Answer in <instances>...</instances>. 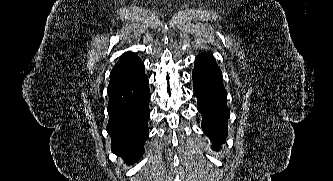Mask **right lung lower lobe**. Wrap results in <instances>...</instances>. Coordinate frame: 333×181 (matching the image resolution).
<instances>
[{
  "label": "right lung lower lobe",
  "instance_id": "98d812e1",
  "mask_svg": "<svg viewBox=\"0 0 333 181\" xmlns=\"http://www.w3.org/2000/svg\"><path fill=\"white\" fill-rule=\"evenodd\" d=\"M109 121L112 151L125 158L126 163L136 162L143 154L148 137L150 91L146 74L108 91Z\"/></svg>",
  "mask_w": 333,
  "mask_h": 181
}]
</instances>
